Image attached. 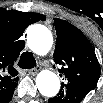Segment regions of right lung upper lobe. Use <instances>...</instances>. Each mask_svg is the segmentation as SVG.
I'll list each match as a JSON object with an SVG mask.
<instances>
[{"label": "right lung upper lobe", "instance_id": "1", "mask_svg": "<svg viewBox=\"0 0 103 103\" xmlns=\"http://www.w3.org/2000/svg\"><path fill=\"white\" fill-rule=\"evenodd\" d=\"M39 20H45V16L0 9V102L5 94L17 86L18 72L13 65L25 45L19 38L28 25Z\"/></svg>", "mask_w": 103, "mask_h": 103}]
</instances>
